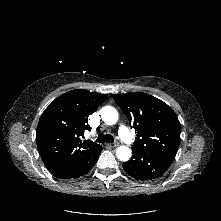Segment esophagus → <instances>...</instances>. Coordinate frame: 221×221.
Segmentation results:
<instances>
[{
  "label": "esophagus",
  "mask_w": 221,
  "mask_h": 221,
  "mask_svg": "<svg viewBox=\"0 0 221 221\" xmlns=\"http://www.w3.org/2000/svg\"><path fill=\"white\" fill-rule=\"evenodd\" d=\"M116 146H118L117 143H108V144H106V147H108V148H113V147H116Z\"/></svg>",
  "instance_id": "obj_1"
}]
</instances>
